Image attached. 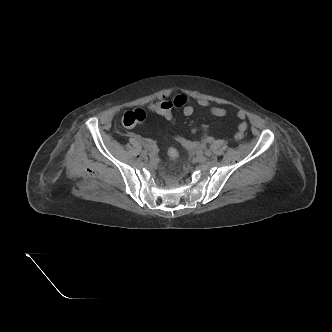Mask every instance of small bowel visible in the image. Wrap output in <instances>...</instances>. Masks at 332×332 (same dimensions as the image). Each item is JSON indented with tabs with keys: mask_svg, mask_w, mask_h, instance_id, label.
Returning a JSON list of instances; mask_svg holds the SVG:
<instances>
[{
	"mask_svg": "<svg viewBox=\"0 0 332 332\" xmlns=\"http://www.w3.org/2000/svg\"><path fill=\"white\" fill-rule=\"evenodd\" d=\"M158 103L160 104V106L155 108L153 112L162 117H163V110L161 108V105H168L171 110H173L175 108L181 109L182 113L185 117H190L194 113V107L191 104H189V99L184 94H178L175 97H173L172 99L163 98L162 100L158 101ZM197 104L203 108L208 109L209 112L215 117H224L227 114L226 109H224L222 107H218V106H213L206 99H202V98L198 99ZM237 117L240 120V123L238 124L237 131L235 132L234 137H235V139L240 140L243 138L248 125L245 120L246 114L244 111H238ZM201 131L203 134V142L211 141L212 138L207 136V125L206 124L201 125ZM175 140L180 145H182L183 147H185L187 149H194V148H197L202 145V143L190 141L181 135H177L175 137Z\"/></svg>",
	"mask_w": 332,
	"mask_h": 332,
	"instance_id": "c3829d8e",
	"label": "small bowel"
}]
</instances>
